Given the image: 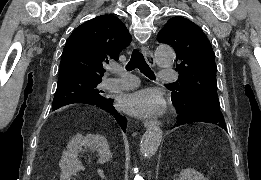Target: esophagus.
Returning a JSON list of instances; mask_svg holds the SVG:
<instances>
[{
  "label": "esophagus",
  "instance_id": "obj_1",
  "mask_svg": "<svg viewBox=\"0 0 261 180\" xmlns=\"http://www.w3.org/2000/svg\"><path fill=\"white\" fill-rule=\"evenodd\" d=\"M142 51H143V54H144V57H145L147 63L149 65L153 66L155 64V61H154V56H153L151 50L148 47L144 46L142 48ZM158 124H159L158 120H146L144 122L145 128H151V127H154Z\"/></svg>",
  "mask_w": 261,
  "mask_h": 180
}]
</instances>
